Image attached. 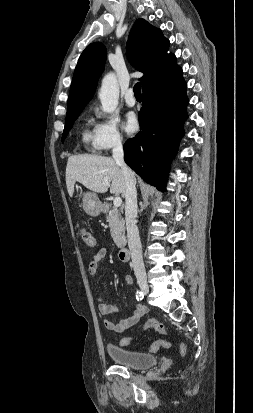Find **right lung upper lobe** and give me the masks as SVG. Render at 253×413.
I'll list each match as a JSON object with an SVG mask.
<instances>
[{"instance_id": "right-lung-upper-lobe-1", "label": "right lung upper lobe", "mask_w": 253, "mask_h": 413, "mask_svg": "<svg viewBox=\"0 0 253 413\" xmlns=\"http://www.w3.org/2000/svg\"><path fill=\"white\" fill-rule=\"evenodd\" d=\"M169 40L160 29L144 19L134 23L127 42V55L131 64L140 72L143 90L172 74L176 65L174 54H168ZM106 48L102 43L88 45L82 52L73 75L66 118L80 114L90 101L103 72Z\"/></svg>"}]
</instances>
